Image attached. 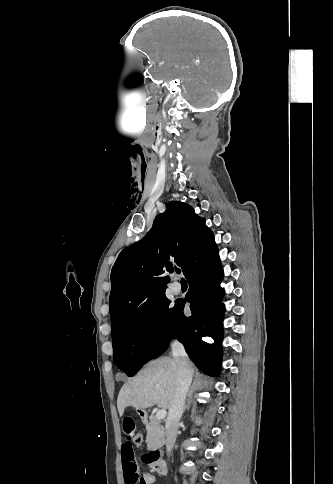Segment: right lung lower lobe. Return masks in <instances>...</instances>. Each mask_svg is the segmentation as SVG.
<instances>
[{
  "mask_svg": "<svg viewBox=\"0 0 333 484\" xmlns=\"http://www.w3.org/2000/svg\"><path fill=\"white\" fill-rule=\"evenodd\" d=\"M223 270L217 248L211 256L194 272L187 281L189 291L185 297L190 302L192 316L183 313L185 302L179 304L178 311L161 342L154 358L161 355L176 337L185 347L195 365L209 375H218L221 369L223 316L225 306L222 303L224 289L220 287ZM210 336L215 342L208 344L202 337Z\"/></svg>",
  "mask_w": 333,
  "mask_h": 484,
  "instance_id": "obj_1",
  "label": "right lung lower lobe"
}]
</instances>
